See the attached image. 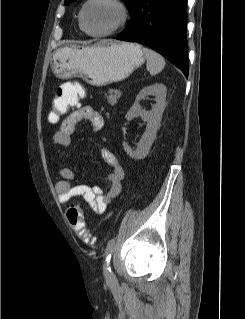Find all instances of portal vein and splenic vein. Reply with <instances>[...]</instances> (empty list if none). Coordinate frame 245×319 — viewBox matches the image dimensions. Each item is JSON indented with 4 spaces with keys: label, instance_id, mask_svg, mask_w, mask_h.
<instances>
[{
    "label": "portal vein and splenic vein",
    "instance_id": "portal-vein-and-splenic-vein-1",
    "mask_svg": "<svg viewBox=\"0 0 245 319\" xmlns=\"http://www.w3.org/2000/svg\"><path fill=\"white\" fill-rule=\"evenodd\" d=\"M118 91H119L118 89L115 90V92H118Z\"/></svg>",
    "mask_w": 245,
    "mask_h": 319
}]
</instances>
